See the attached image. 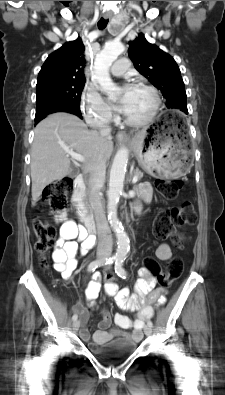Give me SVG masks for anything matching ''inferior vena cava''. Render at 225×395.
<instances>
[{
  "label": "inferior vena cava",
  "instance_id": "1",
  "mask_svg": "<svg viewBox=\"0 0 225 395\" xmlns=\"http://www.w3.org/2000/svg\"><path fill=\"white\" fill-rule=\"evenodd\" d=\"M107 123V120H99L97 122L100 134L102 136L109 137L111 133V127L108 126ZM105 174L106 162L102 156H98L95 162L90 166L88 181L89 202L95 216L99 239L98 255L110 254L113 245L108 222L104 212V206L102 203L101 189L105 183Z\"/></svg>",
  "mask_w": 225,
  "mask_h": 395
}]
</instances>
